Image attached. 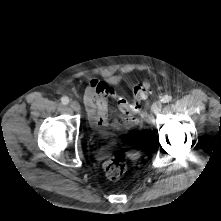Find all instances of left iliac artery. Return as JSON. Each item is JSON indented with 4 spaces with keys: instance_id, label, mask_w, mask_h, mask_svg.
<instances>
[{
    "instance_id": "1",
    "label": "left iliac artery",
    "mask_w": 221,
    "mask_h": 221,
    "mask_svg": "<svg viewBox=\"0 0 221 221\" xmlns=\"http://www.w3.org/2000/svg\"><path fill=\"white\" fill-rule=\"evenodd\" d=\"M172 100V97L170 95H164L161 99V102L168 103Z\"/></svg>"
}]
</instances>
